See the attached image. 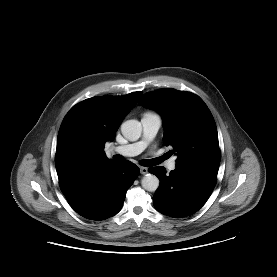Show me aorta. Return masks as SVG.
<instances>
[{"instance_id":"762f6f07","label":"aorta","mask_w":277,"mask_h":277,"mask_svg":"<svg viewBox=\"0 0 277 277\" xmlns=\"http://www.w3.org/2000/svg\"><path fill=\"white\" fill-rule=\"evenodd\" d=\"M122 135L129 141H136L140 138L142 125L138 120H127L121 125ZM159 179L153 174H146L142 180V187L149 192H155L159 187Z\"/></svg>"}]
</instances>
